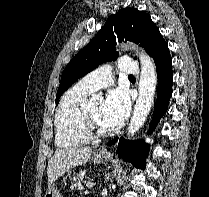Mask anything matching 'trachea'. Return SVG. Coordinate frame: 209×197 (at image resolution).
<instances>
[{"mask_svg":"<svg viewBox=\"0 0 209 197\" xmlns=\"http://www.w3.org/2000/svg\"><path fill=\"white\" fill-rule=\"evenodd\" d=\"M129 77H130V78H134V76H133V75H129Z\"/></svg>","mask_w":209,"mask_h":197,"instance_id":"1","label":"trachea"}]
</instances>
